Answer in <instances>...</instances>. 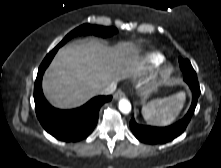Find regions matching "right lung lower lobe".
Returning <instances> with one entry per match:
<instances>
[{"label": "right lung lower lobe", "instance_id": "98d812e1", "mask_svg": "<svg viewBox=\"0 0 221 168\" xmlns=\"http://www.w3.org/2000/svg\"><path fill=\"white\" fill-rule=\"evenodd\" d=\"M59 47L56 46L41 63L34 85L35 111L43 128L58 140L77 142L86 138L97 124L100 107L112 99V96H97L85 105L60 110L52 107L42 92V76Z\"/></svg>", "mask_w": 221, "mask_h": 168}]
</instances>
